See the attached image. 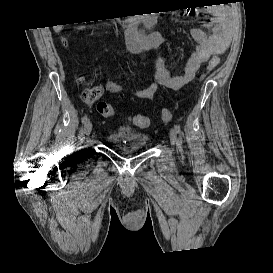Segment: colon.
I'll use <instances>...</instances> for the list:
<instances>
[{"instance_id":"colon-1","label":"colon","mask_w":273,"mask_h":273,"mask_svg":"<svg viewBox=\"0 0 273 273\" xmlns=\"http://www.w3.org/2000/svg\"><path fill=\"white\" fill-rule=\"evenodd\" d=\"M218 58L213 57L205 74L210 73L212 70L216 68L218 65ZM80 82L82 83L83 80L81 79ZM101 95V90L98 87L90 86L86 87L82 93V98L86 103L93 104L96 103ZM97 110L98 112L105 118H112L115 116V108L112 104L107 102H98L97 103ZM160 118L164 122H169L172 119V112L169 109H162L160 112ZM133 123L138 127H146L149 124V120L144 115H135L132 118Z\"/></svg>"}]
</instances>
